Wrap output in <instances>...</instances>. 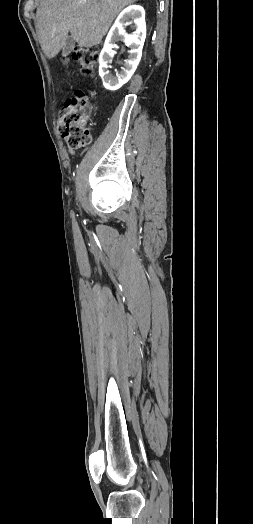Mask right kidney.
Segmentation results:
<instances>
[{"label":"right kidney","instance_id":"ca27d5eb","mask_svg":"<svg viewBox=\"0 0 253 524\" xmlns=\"http://www.w3.org/2000/svg\"><path fill=\"white\" fill-rule=\"evenodd\" d=\"M128 22L133 24L135 31L132 34H127L124 29V25ZM145 37L146 23L143 7L132 5L124 9L111 27L99 56V75L106 89L118 90L129 81L140 62ZM118 41L124 42L130 50L128 59L124 60V67L119 73H116V76H113L109 74L107 68L114 54L113 48L116 47Z\"/></svg>","mask_w":253,"mask_h":524}]
</instances>
